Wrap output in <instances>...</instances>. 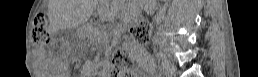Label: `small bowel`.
<instances>
[{
  "mask_svg": "<svg viewBox=\"0 0 258 77\" xmlns=\"http://www.w3.org/2000/svg\"><path fill=\"white\" fill-rule=\"evenodd\" d=\"M140 62H141V66L139 67V70H145L148 68V64H149V59L148 57H146L144 54H141L139 56Z\"/></svg>",
  "mask_w": 258,
  "mask_h": 77,
  "instance_id": "obj_1",
  "label": "small bowel"
}]
</instances>
